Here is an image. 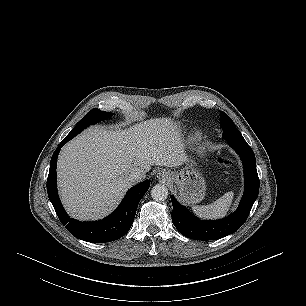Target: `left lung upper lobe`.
<instances>
[{
  "instance_id": "left-lung-upper-lobe-1",
  "label": "left lung upper lobe",
  "mask_w": 306,
  "mask_h": 306,
  "mask_svg": "<svg viewBox=\"0 0 306 306\" xmlns=\"http://www.w3.org/2000/svg\"><path fill=\"white\" fill-rule=\"evenodd\" d=\"M220 123L223 129V138L225 139H244L240 131L236 128L233 121L224 113H220Z\"/></svg>"
}]
</instances>
